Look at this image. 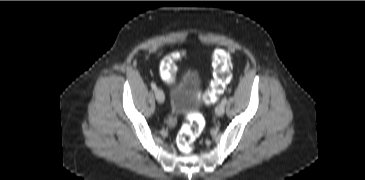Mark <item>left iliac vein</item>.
Listing matches in <instances>:
<instances>
[{
    "mask_svg": "<svg viewBox=\"0 0 365 180\" xmlns=\"http://www.w3.org/2000/svg\"><path fill=\"white\" fill-rule=\"evenodd\" d=\"M225 112V105L220 103L217 105V107L215 108V113L218 116H222Z\"/></svg>",
    "mask_w": 365,
    "mask_h": 180,
    "instance_id": "obj_1",
    "label": "left iliac vein"
}]
</instances>
